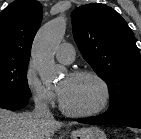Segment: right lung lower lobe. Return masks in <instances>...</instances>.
Returning a JSON list of instances; mask_svg holds the SVG:
<instances>
[{
	"label": "right lung lower lobe",
	"mask_w": 141,
	"mask_h": 139,
	"mask_svg": "<svg viewBox=\"0 0 141 139\" xmlns=\"http://www.w3.org/2000/svg\"><path fill=\"white\" fill-rule=\"evenodd\" d=\"M29 103V98L19 99H0V108L9 110H18L25 107Z\"/></svg>",
	"instance_id": "obj_1"
}]
</instances>
